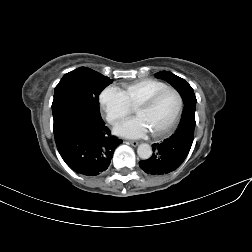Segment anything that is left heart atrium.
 Masks as SVG:
<instances>
[{
  "instance_id": "1",
  "label": "left heart atrium",
  "mask_w": 252,
  "mask_h": 252,
  "mask_svg": "<svg viewBox=\"0 0 252 252\" xmlns=\"http://www.w3.org/2000/svg\"><path fill=\"white\" fill-rule=\"evenodd\" d=\"M114 131L123 137L139 138L144 136L149 130L144 121L137 116L122 122Z\"/></svg>"
}]
</instances>
